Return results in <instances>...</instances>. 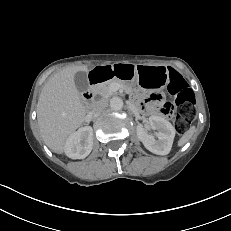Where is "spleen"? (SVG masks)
<instances>
[{
    "instance_id": "obj_1",
    "label": "spleen",
    "mask_w": 231,
    "mask_h": 231,
    "mask_svg": "<svg viewBox=\"0 0 231 231\" xmlns=\"http://www.w3.org/2000/svg\"><path fill=\"white\" fill-rule=\"evenodd\" d=\"M195 127H191L188 131H186L183 136L178 141V146L181 147L186 144L194 135Z\"/></svg>"
}]
</instances>
